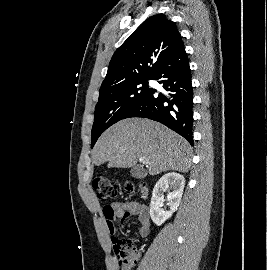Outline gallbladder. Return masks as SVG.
Segmentation results:
<instances>
[{
  "mask_svg": "<svg viewBox=\"0 0 267 270\" xmlns=\"http://www.w3.org/2000/svg\"><path fill=\"white\" fill-rule=\"evenodd\" d=\"M130 173H131L132 177L137 178V179H143L147 175L145 170H143L137 166L132 167L130 170Z\"/></svg>",
  "mask_w": 267,
  "mask_h": 270,
  "instance_id": "obj_1",
  "label": "gallbladder"
}]
</instances>
